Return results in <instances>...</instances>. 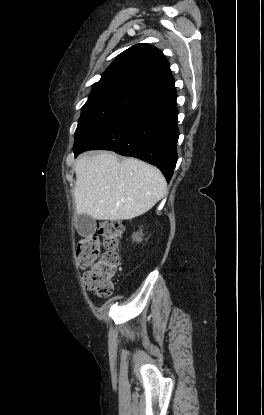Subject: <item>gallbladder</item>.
<instances>
[{
	"label": "gallbladder",
	"instance_id": "obj_1",
	"mask_svg": "<svg viewBox=\"0 0 264 415\" xmlns=\"http://www.w3.org/2000/svg\"><path fill=\"white\" fill-rule=\"evenodd\" d=\"M77 229L82 236L91 235L94 231V220L88 215H79Z\"/></svg>",
	"mask_w": 264,
	"mask_h": 415
}]
</instances>
